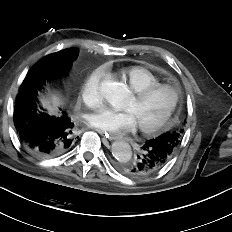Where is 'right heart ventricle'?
Here are the masks:
<instances>
[{
    "label": "right heart ventricle",
    "instance_id": "right-heart-ventricle-1",
    "mask_svg": "<svg viewBox=\"0 0 232 232\" xmlns=\"http://www.w3.org/2000/svg\"><path fill=\"white\" fill-rule=\"evenodd\" d=\"M122 79L133 91L159 83V79L148 69L141 66L126 67L121 71Z\"/></svg>",
    "mask_w": 232,
    "mask_h": 232
}]
</instances>
